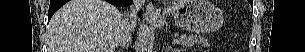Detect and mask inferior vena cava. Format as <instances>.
<instances>
[{
	"instance_id": "obj_1",
	"label": "inferior vena cava",
	"mask_w": 305,
	"mask_h": 52,
	"mask_svg": "<svg viewBox=\"0 0 305 52\" xmlns=\"http://www.w3.org/2000/svg\"><path fill=\"white\" fill-rule=\"evenodd\" d=\"M145 0H133L129 11L125 14L126 26L120 37L119 44L122 47H128L132 41V31L136 26L137 13L142 9Z\"/></svg>"
}]
</instances>
